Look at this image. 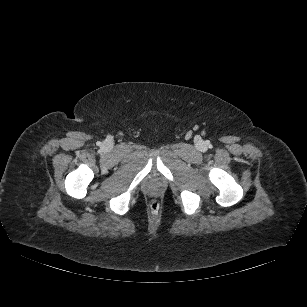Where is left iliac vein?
<instances>
[{
	"mask_svg": "<svg viewBox=\"0 0 307 307\" xmlns=\"http://www.w3.org/2000/svg\"><path fill=\"white\" fill-rule=\"evenodd\" d=\"M198 146H199L200 149H203V148H204L203 142H202V141H199V142H198Z\"/></svg>",
	"mask_w": 307,
	"mask_h": 307,
	"instance_id": "1",
	"label": "left iliac vein"
}]
</instances>
